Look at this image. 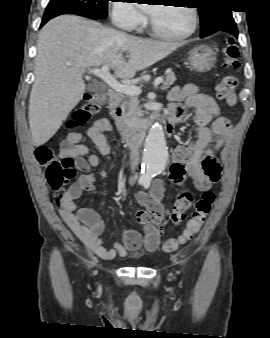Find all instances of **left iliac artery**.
Instances as JSON below:
<instances>
[{
	"mask_svg": "<svg viewBox=\"0 0 270 338\" xmlns=\"http://www.w3.org/2000/svg\"><path fill=\"white\" fill-rule=\"evenodd\" d=\"M144 187H145V188H148V187H149V184H146Z\"/></svg>",
	"mask_w": 270,
	"mask_h": 338,
	"instance_id": "44dca946",
	"label": "left iliac artery"
}]
</instances>
